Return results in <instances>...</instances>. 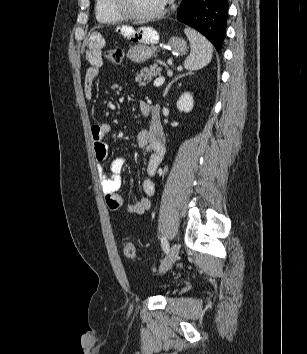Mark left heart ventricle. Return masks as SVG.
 Segmentation results:
<instances>
[{"instance_id": "1", "label": "left heart ventricle", "mask_w": 307, "mask_h": 354, "mask_svg": "<svg viewBox=\"0 0 307 354\" xmlns=\"http://www.w3.org/2000/svg\"><path fill=\"white\" fill-rule=\"evenodd\" d=\"M165 0H126L127 8L139 14L153 13L159 10Z\"/></svg>"}]
</instances>
